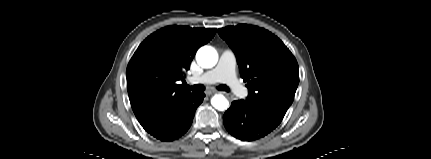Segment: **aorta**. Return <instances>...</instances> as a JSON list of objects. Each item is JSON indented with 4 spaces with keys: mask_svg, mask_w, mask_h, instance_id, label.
Returning <instances> with one entry per match:
<instances>
[{
    "mask_svg": "<svg viewBox=\"0 0 431 159\" xmlns=\"http://www.w3.org/2000/svg\"><path fill=\"white\" fill-rule=\"evenodd\" d=\"M197 63L203 68H212L217 64L218 53L211 46H203L196 53ZM212 106L219 110L224 111L229 107V101L222 95L216 94L211 99Z\"/></svg>",
    "mask_w": 431,
    "mask_h": 159,
    "instance_id": "762f6f07",
    "label": "aorta"
}]
</instances>
